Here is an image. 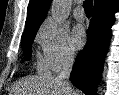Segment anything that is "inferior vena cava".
I'll use <instances>...</instances> for the list:
<instances>
[{
  "mask_svg": "<svg viewBox=\"0 0 119 95\" xmlns=\"http://www.w3.org/2000/svg\"><path fill=\"white\" fill-rule=\"evenodd\" d=\"M73 63H74V53L67 52L63 57L62 70H61L60 74L58 75V78L63 80L68 85L70 84L69 77L71 74Z\"/></svg>",
  "mask_w": 119,
  "mask_h": 95,
  "instance_id": "obj_1",
  "label": "inferior vena cava"
}]
</instances>
